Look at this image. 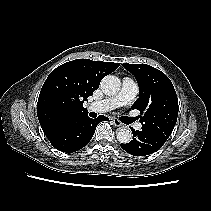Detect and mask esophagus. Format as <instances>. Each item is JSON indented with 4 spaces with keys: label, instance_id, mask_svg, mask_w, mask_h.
Segmentation results:
<instances>
[{
    "label": "esophagus",
    "instance_id": "1",
    "mask_svg": "<svg viewBox=\"0 0 211 211\" xmlns=\"http://www.w3.org/2000/svg\"><path fill=\"white\" fill-rule=\"evenodd\" d=\"M112 122H113L115 127H122L123 126V124L116 118H113Z\"/></svg>",
    "mask_w": 211,
    "mask_h": 211
}]
</instances>
